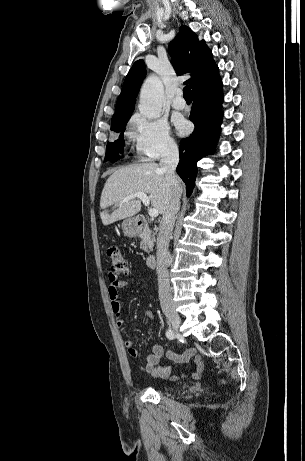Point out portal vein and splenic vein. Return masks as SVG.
I'll list each match as a JSON object with an SVG mask.
<instances>
[{
	"label": "portal vein and splenic vein",
	"mask_w": 305,
	"mask_h": 461,
	"mask_svg": "<svg viewBox=\"0 0 305 461\" xmlns=\"http://www.w3.org/2000/svg\"><path fill=\"white\" fill-rule=\"evenodd\" d=\"M133 198L140 199L143 202V204L145 206H147V207H149V205H150V199L144 192H136L134 194H130V195L126 196L123 201L128 202L129 200H131ZM148 214H149L150 217L155 218V217H157L159 215V212L155 208H150L148 210Z\"/></svg>",
	"instance_id": "18ae733b"
}]
</instances>
